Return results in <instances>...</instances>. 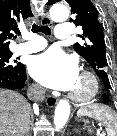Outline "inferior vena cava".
I'll return each instance as SVG.
<instances>
[{
  "instance_id": "1",
  "label": "inferior vena cava",
  "mask_w": 117,
  "mask_h": 136,
  "mask_svg": "<svg viewBox=\"0 0 117 136\" xmlns=\"http://www.w3.org/2000/svg\"><path fill=\"white\" fill-rule=\"evenodd\" d=\"M28 97L36 102L43 101L45 98V89L40 85H32L28 90Z\"/></svg>"
}]
</instances>
